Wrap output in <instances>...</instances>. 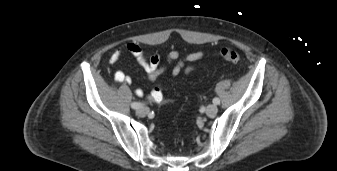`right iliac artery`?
I'll return each mask as SVG.
<instances>
[{
	"label": "right iliac artery",
	"mask_w": 337,
	"mask_h": 171,
	"mask_svg": "<svg viewBox=\"0 0 337 171\" xmlns=\"http://www.w3.org/2000/svg\"><path fill=\"white\" fill-rule=\"evenodd\" d=\"M141 106H142V103H138V102L131 103V107L133 109H139Z\"/></svg>",
	"instance_id": "82829eb1"
}]
</instances>
